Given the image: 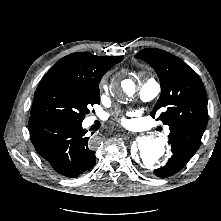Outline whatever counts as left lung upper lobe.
Masks as SVG:
<instances>
[{
	"mask_svg": "<svg viewBox=\"0 0 221 221\" xmlns=\"http://www.w3.org/2000/svg\"><path fill=\"white\" fill-rule=\"evenodd\" d=\"M135 58L151 65L160 79L161 95L152 117L163 109L157 118L163 124L204 133L208 121L207 96L198 74L178 57L160 49H143Z\"/></svg>",
	"mask_w": 221,
	"mask_h": 221,
	"instance_id": "1",
	"label": "left lung upper lobe"
}]
</instances>
